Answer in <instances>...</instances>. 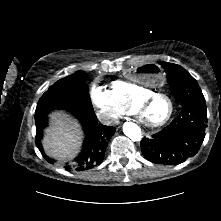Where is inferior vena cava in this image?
Instances as JSON below:
<instances>
[{
  "label": "inferior vena cava",
  "instance_id": "1",
  "mask_svg": "<svg viewBox=\"0 0 221 221\" xmlns=\"http://www.w3.org/2000/svg\"><path fill=\"white\" fill-rule=\"evenodd\" d=\"M98 119L104 125H111L117 123V119L110 112L99 113Z\"/></svg>",
  "mask_w": 221,
  "mask_h": 221
}]
</instances>
